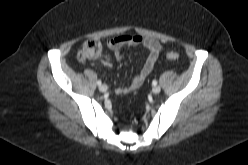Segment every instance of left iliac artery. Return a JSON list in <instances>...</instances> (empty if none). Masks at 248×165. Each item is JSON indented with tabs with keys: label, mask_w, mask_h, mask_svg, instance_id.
Here are the masks:
<instances>
[{
	"label": "left iliac artery",
	"mask_w": 248,
	"mask_h": 165,
	"mask_svg": "<svg viewBox=\"0 0 248 165\" xmlns=\"http://www.w3.org/2000/svg\"><path fill=\"white\" fill-rule=\"evenodd\" d=\"M152 84H153V85H157V81H156V80H153V81H152Z\"/></svg>",
	"instance_id": "1"
}]
</instances>
